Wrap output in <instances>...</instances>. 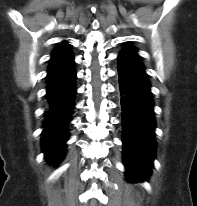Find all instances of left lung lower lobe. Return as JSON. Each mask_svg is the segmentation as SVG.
Segmentation results:
<instances>
[{"label":"left lung lower lobe","mask_w":197,"mask_h":206,"mask_svg":"<svg viewBox=\"0 0 197 206\" xmlns=\"http://www.w3.org/2000/svg\"><path fill=\"white\" fill-rule=\"evenodd\" d=\"M119 85L123 98L122 141L127 179L147 180L155 158V118L151 85L137 52L126 46L118 55Z\"/></svg>","instance_id":"1"}]
</instances>
